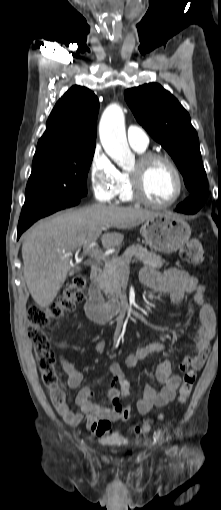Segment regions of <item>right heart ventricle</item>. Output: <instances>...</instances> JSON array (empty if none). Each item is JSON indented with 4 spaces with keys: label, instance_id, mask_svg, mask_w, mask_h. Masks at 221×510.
Instances as JSON below:
<instances>
[{
    "label": "right heart ventricle",
    "instance_id": "right-heart-ventricle-1",
    "mask_svg": "<svg viewBox=\"0 0 221 510\" xmlns=\"http://www.w3.org/2000/svg\"><path fill=\"white\" fill-rule=\"evenodd\" d=\"M134 150L140 154H143L146 151V149H138V148H134ZM120 175H121V186H120L118 195L121 200L130 202L133 200V198H132L131 192H130L128 173L123 171V172H120Z\"/></svg>",
    "mask_w": 221,
    "mask_h": 510
}]
</instances>
